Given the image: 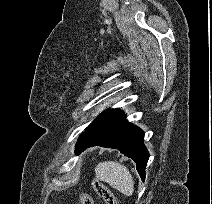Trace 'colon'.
<instances>
[{
    "label": "colon",
    "instance_id": "1",
    "mask_svg": "<svg viewBox=\"0 0 212 204\" xmlns=\"http://www.w3.org/2000/svg\"><path fill=\"white\" fill-rule=\"evenodd\" d=\"M93 190L103 199L105 204H117L114 193L99 179L92 180ZM80 204H93V199L90 194L81 192L79 195Z\"/></svg>",
    "mask_w": 212,
    "mask_h": 204
}]
</instances>
